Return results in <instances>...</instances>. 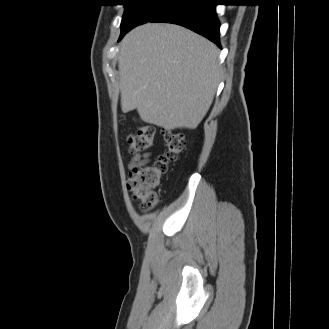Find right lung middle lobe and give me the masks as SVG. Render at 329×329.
Here are the masks:
<instances>
[{"label": "right lung middle lobe", "instance_id": "dd1d6c3e", "mask_svg": "<svg viewBox=\"0 0 329 329\" xmlns=\"http://www.w3.org/2000/svg\"><path fill=\"white\" fill-rule=\"evenodd\" d=\"M125 2L120 39L137 25L150 21L165 6L176 0H122Z\"/></svg>", "mask_w": 329, "mask_h": 329}]
</instances>
